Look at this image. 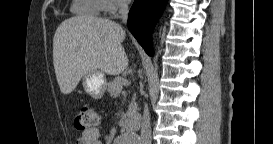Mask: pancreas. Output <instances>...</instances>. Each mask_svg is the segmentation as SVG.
Returning a JSON list of instances; mask_svg holds the SVG:
<instances>
[{
    "label": "pancreas",
    "mask_w": 273,
    "mask_h": 144,
    "mask_svg": "<svg viewBox=\"0 0 273 144\" xmlns=\"http://www.w3.org/2000/svg\"><path fill=\"white\" fill-rule=\"evenodd\" d=\"M128 81L123 77H116L113 81L106 84V89L111 97H117L123 89V86H127ZM137 110L135 99L129 105L127 115L131 117Z\"/></svg>",
    "instance_id": "obj_1"
}]
</instances>
